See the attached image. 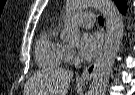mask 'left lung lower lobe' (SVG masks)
Masks as SVG:
<instances>
[{"mask_svg":"<svg viewBox=\"0 0 135 95\" xmlns=\"http://www.w3.org/2000/svg\"><path fill=\"white\" fill-rule=\"evenodd\" d=\"M124 9H125V7L119 8V10H120L122 13H123Z\"/></svg>","mask_w":135,"mask_h":95,"instance_id":"obj_1","label":"left lung lower lobe"}]
</instances>
